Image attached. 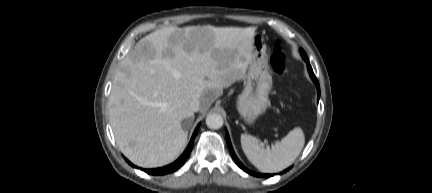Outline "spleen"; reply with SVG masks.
I'll use <instances>...</instances> for the list:
<instances>
[{"label":"spleen","instance_id":"obj_1","mask_svg":"<svg viewBox=\"0 0 432 193\" xmlns=\"http://www.w3.org/2000/svg\"><path fill=\"white\" fill-rule=\"evenodd\" d=\"M305 143L301 128L296 127L272 148H263L252 135H241V146L248 160L263 173H276L289 167Z\"/></svg>","mask_w":432,"mask_h":193}]
</instances>
